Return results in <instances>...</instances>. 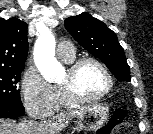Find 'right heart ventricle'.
<instances>
[{
    "label": "right heart ventricle",
    "mask_w": 153,
    "mask_h": 134,
    "mask_svg": "<svg viewBox=\"0 0 153 134\" xmlns=\"http://www.w3.org/2000/svg\"><path fill=\"white\" fill-rule=\"evenodd\" d=\"M66 63H71L74 60V57L70 59H62ZM55 89V97H56V107H62V106H67L69 103L65 101V99L62 96V93L59 89V87H54Z\"/></svg>",
    "instance_id": "obj_1"
}]
</instances>
